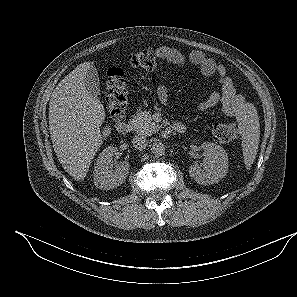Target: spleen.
I'll list each match as a JSON object with an SVG mask.
<instances>
[{
    "label": "spleen",
    "mask_w": 297,
    "mask_h": 297,
    "mask_svg": "<svg viewBox=\"0 0 297 297\" xmlns=\"http://www.w3.org/2000/svg\"><path fill=\"white\" fill-rule=\"evenodd\" d=\"M242 136L243 156L246 169L253 164L259 144L260 127L257 112L251 109L246 115L238 117Z\"/></svg>",
    "instance_id": "obj_1"
}]
</instances>
